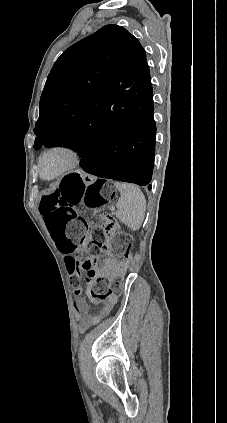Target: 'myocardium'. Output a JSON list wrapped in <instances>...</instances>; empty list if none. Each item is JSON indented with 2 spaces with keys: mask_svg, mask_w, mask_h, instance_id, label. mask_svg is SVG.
<instances>
[{
  "mask_svg": "<svg viewBox=\"0 0 227 423\" xmlns=\"http://www.w3.org/2000/svg\"><path fill=\"white\" fill-rule=\"evenodd\" d=\"M52 153H62L66 156V162L59 172L51 177H46L43 172V165L45 159ZM82 163L81 153L73 146L68 144H57L46 148L40 155L38 160L39 173L41 178L47 181H52L65 177L79 168Z\"/></svg>",
  "mask_w": 227,
  "mask_h": 423,
  "instance_id": "f54148a6",
  "label": "myocardium"
}]
</instances>
